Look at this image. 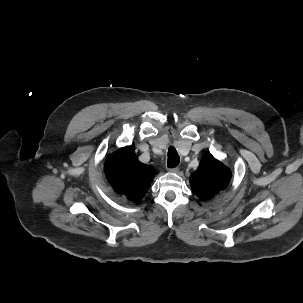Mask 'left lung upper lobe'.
Instances as JSON below:
<instances>
[{
  "instance_id": "left-lung-upper-lobe-1",
  "label": "left lung upper lobe",
  "mask_w": 303,
  "mask_h": 303,
  "mask_svg": "<svg viewBox=\"0 0 303 303\" xmlns=\"http://www.w3.org/2000/svg\"><path fill=\"white\" fill-rule=\"evenodd\" d=\"M230 177L228 168L212 155H207L201 160L198 170L190 176V184L198 197L207 200L224 188Z\"/></svg>"
}]
</instances>
